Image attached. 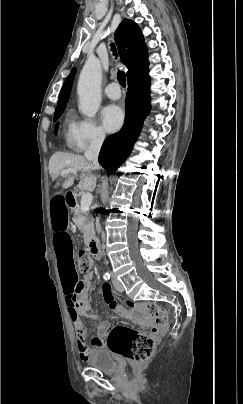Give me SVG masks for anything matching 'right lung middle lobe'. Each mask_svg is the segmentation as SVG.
Segmentation results:
<instances>
[{"label": "right lung middle lobe", "mask_w": 243, "mask_h": 404, "mask_svg": "<svg viewBox=\"0 0 243 404\" xmlns=\"http://www.w3.org/2000/svg\"><path fill=\"white\" fill-rule=\"evenodd\" d=\"M64 109H65V107H61V108H58L55 110L54 121H56L60 117V115L62 114ZM57 127H58V124L56 125L55 132H57Z\"/></svg>", "instance_id": "1"}]
</instances>
